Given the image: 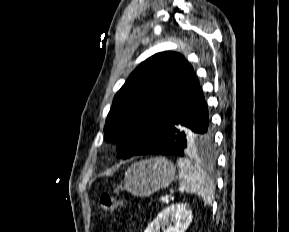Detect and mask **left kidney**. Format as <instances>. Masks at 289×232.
<instances>
[{"label": "left kidney", "instance_id": "left-kidney-1", "mask_svg": "<svg viewBox=\"0 0 289 232\" xmlns=\"http://www.w3.org/2000/svg\"><path fill=\"white\" fill-rule=\"evenodd\" d=\"M192 210L187 204H173L162 210L144 232H185L192 222Z\"/></svg>", "mask_w": 289, "mask_h": 232}]
</instances>
